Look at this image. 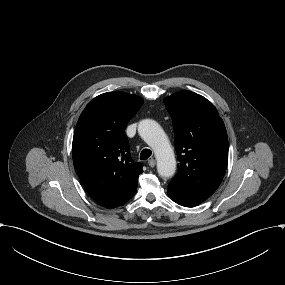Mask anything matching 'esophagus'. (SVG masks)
<instances>
[{
    "instance_id": "1",
    "label": "esophagus",
    "mask_w": 285,
    "mask_h": 285,
    "mask_svg": "<svg viewBox=\"0 0 285 285\" xmlns=\"http://www.w3.org/2000/svg\"><path fill=\"white\" fill-rule=\"evenodd\" d=\"M148 165H149L151 168L155 167V165H156L155 159H149V160H148Z\"/></svg>"
}]
</instances>
